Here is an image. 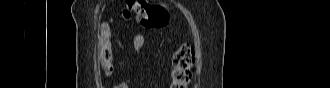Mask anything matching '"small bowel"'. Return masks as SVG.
Here are the masks:
<instances>
[{"label": "small bowel", "mask_w": 330, "mask_h": 88, "mask_svg": "<svg viewBox=\"0 0 330 88\" xmlns=\"http://www.w3.org/2000/svg\"><path fill=\"white\" fill-rule=\"evenodd\" d=\"M146 42V38L143 34H138L134 37L133 40V45H134V49L138 54H141L143 51V47L145 45ZM127 84L125 82H121L117 88H127Z\"/></svg>", "instance_id": "1"}]
</instances>
